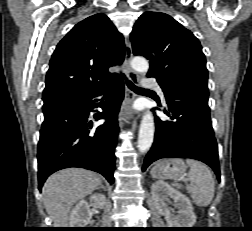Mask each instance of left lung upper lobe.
Listing matches in <instances>:
<instances>
[{
    "mask_svg": "<svg viewBox=\"0 0 252 231\" xmlns=\"http://www.w3.org/2000/svg\"><path fill=\"white\" fill-rule=\"evenodd\" d=\"M131 42L134 55L150 61L148 77L188 81L208 89L206 60L199 40L171 16L145 12L133 27Z\"/></svg>",
    "mask_w": 252,
    "mask_h": 231,
    "instance_id": "left-lung-upper-lobe-1",
    "label": "left lung upper lobe"
}]
</instances>
